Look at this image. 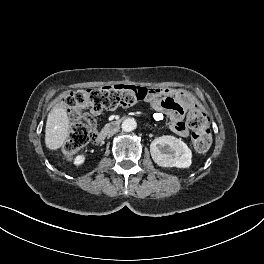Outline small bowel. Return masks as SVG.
Segmentation results:
<instances>
[{"instance_id": "obj_1", "label": "small bowel", "mask_w": 264, "mask_h": 264, "mask_svg": "<svg viewBox=\"0 0 264 264\" xmlns=\"http://www.w3.org/2000/svg\"><path fill=\"white\" fill-rule=\"evenodd\" d=\"M146 100L151 107L160 115H166L170 119V129L181 137H187L189 130L183 121L185 111L191 106L192 99L189 94L182 90L169 88H152L149 89V95ZM101 111L91 109L90 112L83 113L81 117L88 125L95 129L96 117ZM94 132V141L95 135Z\"/></svg>"}]
</instances>
